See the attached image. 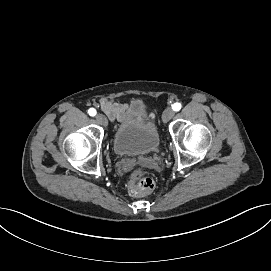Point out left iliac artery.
Here are the masks:
<instances>
[{
  "label": "left iliac artery",
  "mask_w": 271,
  "mask_h": 271,
  "mask_svg": "<svg viewBox=\"0 0 271 271\" xmlns=\"http://www.w3.org/2000/svg\"><path fill=\"white\" fill-rule=\"evenodd\" d=\"M174 111H179L181 109V104L176 102L172 105Z\"/></svg>",
  "instance_id": "left-iliac-artery-1"
}]
</instances>
